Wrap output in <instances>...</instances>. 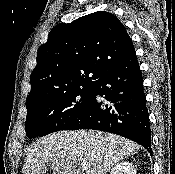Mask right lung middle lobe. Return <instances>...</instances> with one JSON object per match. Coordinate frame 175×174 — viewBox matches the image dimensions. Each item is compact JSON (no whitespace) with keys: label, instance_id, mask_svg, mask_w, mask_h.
<instances>
[{"label":"right lung middle lobe","instance_id":"right-lung-middle-lobe-1","mask_svg":"<svg viewBox=\"0 0 175 174\" xmlns=\"http://www.w3.org/2000/svg\"><path fill=\"white\" fill-rule=\"evenodd\" d=\"M94 85L70 89L27 105L25 131L28 138L62 130L88 106Z\"/></svg>","mask_w":175,"mask_h":174}]
</instances>
